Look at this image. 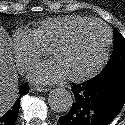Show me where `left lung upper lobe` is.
Returning a JSON list of instances; mask_svg holds the SVG:
<instances>
[{
  "instance_id": "5c2ea615",
  "label": "left lung upper lobe",
  "mask_w": 125,
  "mask_h": 125,
  "mask_svg": "<svg viewBox=\"0 0 125 125\" xmlns=\"http://www.w3.org/2000/svg\"><path fill=\"white\" fill-rule=\"evenodd\" d=\"M123 69H125V39L119 32L115 31L113 53L104 69L99 73V75L92 78V80L98 81L105 76Z\"/></svg>"
}]
</instances>
